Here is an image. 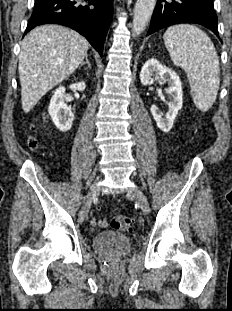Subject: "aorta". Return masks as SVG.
<instances>
[{
  "mask_svg": "<svg viewBox=\"0 0 232 311\" xmlns=\"http://www.w3.org/2000/svg\"><path fill=\"white\" fill-rule=\"evenodd\" d=\"M157 0H137L134 7L133 33L139 35L150 20Z\"/></svg>",
  "mask_w": 232,
  "mask_h": 311,
  "instance_id": "1",
  "label": "aorta"
}]
</instances>
